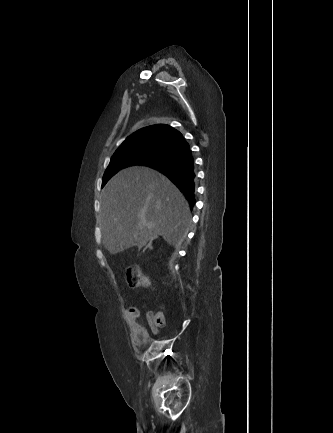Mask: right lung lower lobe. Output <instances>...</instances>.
I'll return each instance as SVG.
<instances>
[{"label": "right lung lower lobe", "mask_w": 333, "mask_h": 433, "mask_svg": "<svg viewBox=\"0 0 333 433\" xmlns=\"http://www.w3.org/2000/svg\"><path fill=\"white\" fill-rule=\"evenodd\" d=\"M174 143L175 145L172 146L169 155L146 164V166L153 167L166 175L186 195V199L192 208L196 203L194 194L196 177L194 157L185 139L180 138Z\"/></svg>", "instance_id": "98d812e1"}]
</instances>
